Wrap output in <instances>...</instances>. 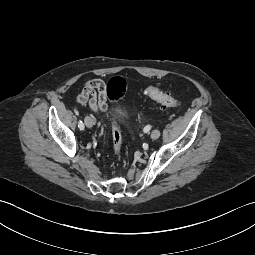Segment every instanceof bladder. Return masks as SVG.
<instances>
[{
	"label": "bladder",
	"mask_w": 255,
	"mask_h": 255,
	"mask_svg": "<svg viewBox=\"0 0 255 255\" xmlns=\"http://www.w3.org/2000/svg\"><path fill=\"white\" fill-rule=\"evenodd\" d=\"M113 115L116 120H124L127 117L128 112L124 106L118 105L115 107Z\"/></svg>",
	"instance_id": "31cf9c89"
}]
</instances>
